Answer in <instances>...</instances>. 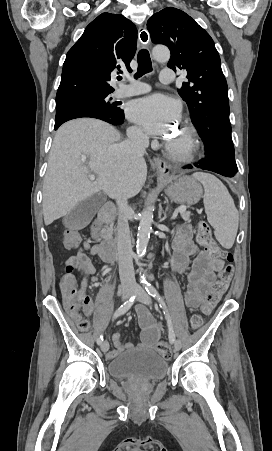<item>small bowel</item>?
I'll list each match as a JSON object with an SVG mask.
<instances>
[{"mask_svg": "<svg viewBox=\"0 0 272 451\" xmlns=\"http://www.w3.org/2000/svg\"><path fill=\"white\" fill-rule=\"evenodd\" d=\"M173 251L168 257L169 269L187 277V288L184 292V303L187 308H196L201 298L207 293L215 273L222 269L224 262L210 260L209 252L200 249L193 241V229L190 224H179L176 227L175 237L172 243ZM98 252V247H92L88 241L81 242V247L75 256H89ZM193 258V261H192ZM93 265V264H92ZM96 274V273H95ZM95 274H83V285ZM65 302V300H64ZM74 320H79V313L75 309H67ZM89 316L91 313H84ZM139 323L142 329L140 347H153L159 340L161 325L154 322L144 307L138 309ZM114 349L107 353L108 359H114L124 350L132 348L133 344L124 343L121 335L115 333L112 336Z\"/></svg>", "mask_w": 272, "mask_h": 451, "instance_id": "1", "label": "small bowel"}]
</instances>
